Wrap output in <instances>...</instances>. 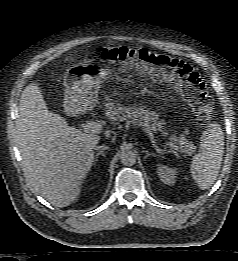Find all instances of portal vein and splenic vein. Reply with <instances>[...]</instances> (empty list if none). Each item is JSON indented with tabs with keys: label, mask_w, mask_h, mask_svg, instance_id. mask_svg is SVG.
<instances>
[{
	"label": "portal vein and splenic vein",
	"mask_w": 238,
	"mask_h": 261,
	"mask_svg": "<svg viewBox=\"0 0 238 261\" xmlns=\"http://www.w3.org/2000/svg\"><path fill=\"white\" fill-rule=\"evenodd\" d=\"M82 128L87 133L98 134L102 131L103 125L101 123H98V122L90 121V122H87L85 124H82ZM146 132L148 133V135L152 136L150 131L146 130ZM165 144L168 147H170L171 149H173L174 151L182 153L181 149L177 145H175L174 143L165 142Z\"/></svg>",
	"instance_id": "18ae733b"
}]
</instances>
